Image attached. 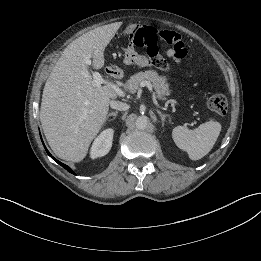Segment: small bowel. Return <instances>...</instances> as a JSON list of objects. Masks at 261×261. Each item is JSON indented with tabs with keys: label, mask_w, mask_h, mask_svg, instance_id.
I'll use <instances>...</instances> for the list:
<instances>
[{
	"label": "small bowel",
	"mask_w": 261,
	"mask_h": 261,
	"mask_svg": "<svg viewBox=\"0 0 261 261\" xmlns=\"http://www.w3.org/2000/svg\"><path fill=\"white\" fill-rule=\"evenodd\" d=\"M167 54L176 60L181 58L175 54L172 48L167 50ZM124 62L128 65H136L139 67H146L150 64L147 57L135 50V46L132 42H129V44L124 48Z\"/></svg>",
	"instance_id": "1"
}]
</instances>
